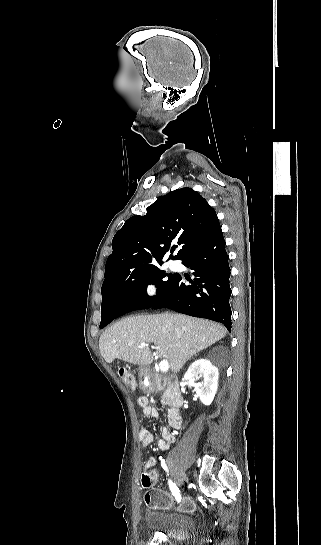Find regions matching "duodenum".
Masks as SVG:
<instances>
[{
    "label": "duodenum",
    "instance_id": "1",
    "mask_svg": "<svg viewBox=\"0 0 321 545\" xmlns=\"http://www.w3.org/2000/svg\"><path fill=\"white\" fill-rule=\"evenodd\" d=\"M147 377L151 381V383L154 384L156 387H159V388L166 387L167 393L165 396V400L170 408L169 423L172 428L174 429L178 428L181 424L180 409L183 404V398L181 394L173 388L172 382L170 380H162L161 378L151 373H147Z\"/></svg>",
    "mask_w": 321,
    "mask_h": 545
}]
</instances>
